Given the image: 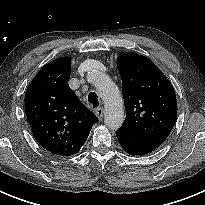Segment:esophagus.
Instances as JSON below:
<instances>
[{
    "instance_id": "obj_1",
    "label": "esophagus",
    "mask_w": 205,
    "mask_h": 205,
    "mask_svg": "<svg viewBox=\"0 0 205 205\" xmlns=\"http://www.w3.org/2000/svg\"><path fill=\"white\" fill-rule=\"evenodd\" d=\"M95 114L98 117L99 120L103 118L104 115V109L102 107H99L95 110Z\"/></svg>"
}]
</instances>
